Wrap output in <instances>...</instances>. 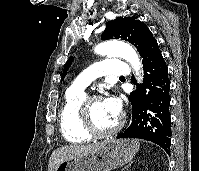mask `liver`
Segmentation results:
<instances>
[{
	"label": "liver",
	"mask_w": 199,
	"mask_h": 171,
	"mask_svg": "<svg viewBox=\"0 0 199 171\" xmlns=\"http://www.w3.org/2000/svg\"><path fill=\"white\" fill-rule=\"evenodd\" d=\"M104 142L87 145H70L54 150L49 160L48 171H55L58 165L65 160H70L95 151L101 147Z\"/></svg>",
	"instance_id": "obj_1"
}]
</instances>
